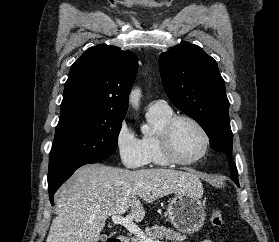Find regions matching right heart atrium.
<instances>
[{
	"label": "right heart atrium",
	"instance_id": "1",
	"mask_svg": "<svg viewBox=\"0 0 279 242\" xmlns=\"http://www.w3.org/2000/svg\"><path fill=\"white\" fill-rule=\"evenodd\" d=\"M115 145L122 164L127 168L136 169L148 163L141 139L126 121H123L117 129Z\"/></svg>",
	"mask_w": 279,
	"mask_h": 242
}]
</instances>
